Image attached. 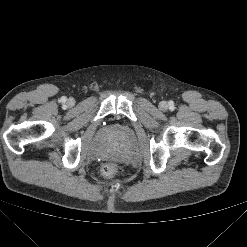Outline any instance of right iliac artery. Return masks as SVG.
I'll return each mask as SVG.
<instances>
[{
	"mask_svg": "<svg viewBox=\"0 0 247 247\" xmlns=\"http://www.w3.org/2000/svg\"><path fill=\"white\" fill-rule=\"evenodd\" d=\"M61 100H62L63 102H65V101H66V98H65V97H62Z\"/></svg>",
	"mask_w": 247,
	"mask_h": 247,
	"instance_id": "right-iliac-artery-1",
	"label": "right iliac artery"
}]
</instances>
